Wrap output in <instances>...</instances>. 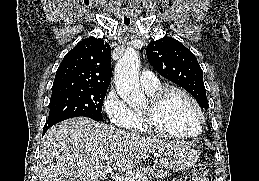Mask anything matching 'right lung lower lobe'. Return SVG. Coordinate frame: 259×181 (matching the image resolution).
<instances>
[{
    "label": "right lung lower lobe",
    "instance_id": "obj_1",
    "mask_svg": "<svg viewBox=\"0 0 259 181\" xmlns=\"http://www.w3.org/2000/svg\"><path fill=\"white\" fill-rule=\"evenodd\" d=\"M49 128H44L43 129V135L45 134V132L48 130Z\"/></svg>",
    "mask_w": 259,
    "mask_h": 181
}]
</instances>
